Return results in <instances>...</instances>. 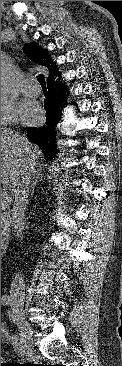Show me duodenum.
<instances>
[{"mask_svg":"<svg viewBox=\"0 0 122 366\" xmlns=\"http://www.w3.org/2000/svg\"><path fill=\"white\" fill-rule=\"evenodd\" d=\"M4 248H5V242L1 241V252L4 250Z\"/></svg>","mask_w":122,"mask_h":366,"instance_id":"duodenum-1","label":"duodenum"}]
</instances>
